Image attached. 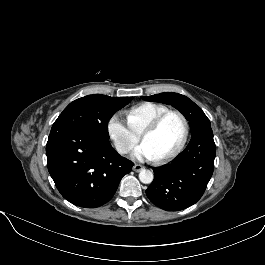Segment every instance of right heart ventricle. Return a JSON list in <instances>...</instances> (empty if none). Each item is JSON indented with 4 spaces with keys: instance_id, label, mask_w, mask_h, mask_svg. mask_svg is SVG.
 I'll return each instance as SVG.
<instances>
[{
    "instance_id": "1",
    "label": "right heart ventricle",
    "mask_w": 265,
    "mask_h": 265,
    "mask_svg": "<svg viewBox=\"0 0 265 265\" xmlns=\"http://www.w3.org/2000/svg\"><path fill=\"white\" fill-rule=\"evenodd\" d=\"M167 110H169L168 107L161 104L152 102L140 103L127 111V123L139 135L151 121Z\"/></svg>"
}]
</instances>
